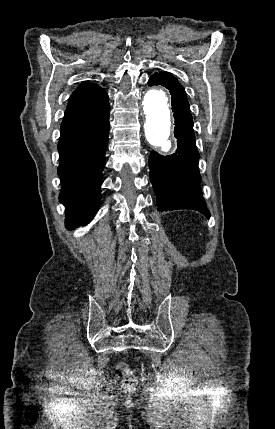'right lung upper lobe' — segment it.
Here are the masks:
<instances>
[{
    "mask_svg": "<svg viewBox=\"0 0 275 429\" xmlns=\"http://www.w3.org/2000/svg\"><path fill=\"white\" fill-rule=\"evenodd\" d=\"M107 109H109V103L106 91L96 84L83 82L69 98L61 127L92 120Z\"/></svg>",
    "mask_w": 275,
    "mask_h": 429,
    "instance_id": "1",
    "label": "right lung upper lobe"
}]
</instances>
